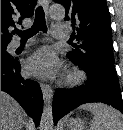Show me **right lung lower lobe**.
I'll return each instance as SVG.
<instances>
[{
	"label": "right lung lower lobe",
	"mask_w": 123,
	"mask_h": 130,
	"mask_svg": "<svg viewBox=\"0 0 123 130\" xmlns=\"http://www.w3.org/2000/svg\"><path fill=\"white\" fill-rule=\"evenodd\" d=\"M21 65L10 55H1V90L11 95L34 119L38 126L43 108V96L37 82L24 79Z\"/></svg>",
	"instance_id": "1"
}]
</instances>
